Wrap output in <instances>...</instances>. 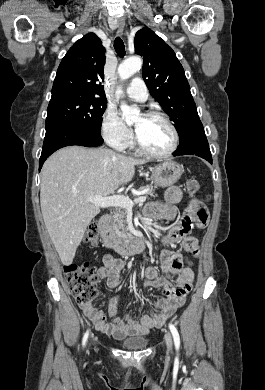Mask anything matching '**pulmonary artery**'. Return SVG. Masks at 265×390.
Instances as JSON below:
<instances>
[{
  "label": "pulmonary artery",
  "mask_w": 265,
  "mask_h": 390,
  "mask_svg": "<svg viewBox=\"0 0 265 390\" xmlns=\"http://www.w3.org/2000/svg\"><path fill=\"white\" fill-rule=\"evenodd\" d=\"M126 93L129 98L139 102L145 101L148 97L147 87L140 77L132 78Z\"/></svg>",
  "instance_id": "pulmonary-artery-1"
}]
</instances>
